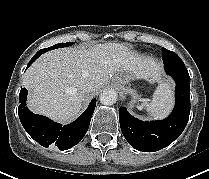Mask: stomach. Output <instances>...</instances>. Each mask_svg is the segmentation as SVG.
<instances>
[{
	"mask_svg": "<svg viewBox=\"0 0 209 179\" xmlns=\"http://www.w3.org/2000/svg\"><path fill=\"white\" fill-rule=\"evenodd\" d=\"M131 80H134V76L129 72H124L119 75L117 82L119 83L121 89L124 91L126 85H128Z\"/></svg>",
	"mask_w": 209,
	"mask_h": 179,
	"instance_id": "obj_1",
	"label": "stomach"
}]
</instances>
